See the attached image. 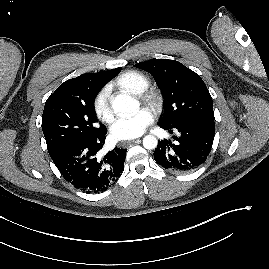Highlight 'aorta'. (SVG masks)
Returning <instances> with one entry per match:
<instances>
[{
	"mask_svg": "<svg viewBox=\"0 0 269 269\" xmlns=\"http://www.w3.org/2000/svg\"><path fill=\"white\" fill-rule=\"evenodd\" d=\"M112 108L120 117H130L137 113L139 102L129 95H117L111 101ZM158 140L153 135H147L143 138V146L146 149L153 150L157 147Z\"/></svg>",
	"mask_w": 269,
	"mask_h": 269,
	"instance_id": "obj_1",
	"label": "aorta"
}]
</instances>
